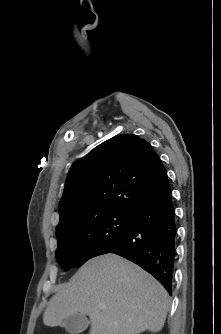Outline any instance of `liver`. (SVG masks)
<instances>
[{"label": "liver", "instance_id": "1", "mask_svg": "<svg viewBox=\"0 0 221 334\" xmlns=\"http://www.w3.org/2000/svg\"><path fill=\"white\" fill-rule=\"evenodd\" d=\"M169 308L168 293L133 262L108 253L87 261L49 301L43 322L64 325L70 315H88L90 334L159 332Z\"/></svg>", "mask_w": 221, "mask_h": 334}]
</instances>
